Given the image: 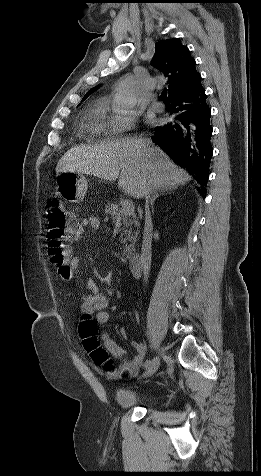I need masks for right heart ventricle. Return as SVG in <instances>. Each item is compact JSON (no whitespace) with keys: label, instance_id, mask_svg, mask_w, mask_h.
Returning <instances> with one entry per match:
<instances>
[{"label":"right heart ventricle","instance_id":"1","mask_svg":"<svg viewBox=\"0 0 261 476\" xmlns=\"http://www.w3.org/2000/svg\"><path fill=\"white\" fill-rule=\"evenodd\" d=\"M88 130L93 137H99L106 132L107 122L105 118V107L102 103H95L92 106Z\"/></svg>","mask_w":261,"mask_h":476}]
</instances>
